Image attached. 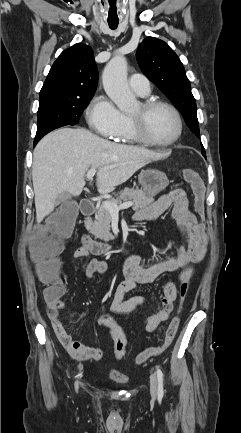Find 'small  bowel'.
<instances>
[{"label":"small bowel","mask_w":241,"mask_h":433,"mask_svg":"<svg viewBox=\"0 0 241 433\" xmlns=\"http://www.w3.org/2000/svg\"><path fill=\"white\" fill-rule=\"evenodd\" d=\"M171 208L172 215L182 236V245L175 255L149 267L142 266L139 255L134 254L130 256L123 267L125 279L116 287L110 302L109 307L112 313L128 314L136 308H146L147 303L143 296L134 295L125 300V295L139 284L153 282L163 273L181 269V276H191L193 272L192 265L203 260L206 253L205 226L203 222L199 221L190 212L189 200L185 190L175 189L168 194L162 195L152 204L140 209L135 214V220L139 222L154 220ZM87 256H90V252L84 247L78 248L74 253V258L76 259ZM107 269L108 265L104 260L93 257L85 266L84 273L88 279H92L104 274ZM65 294L66 287L64 285L63 292L59 297L47 301V315L57 339L75 360H100L102 357V350L100 348L85 345L72 338L66 332L59 318V310L66 306V303L61 299ZM176 298V285L173 282H167L160 296V308L152 312L147 318V332L151 333L155 331L161 323L168 320ZM102 316L103 314L97 318V323L100 326L106 327L107 321ZM108 316L111 315L108 314Z\"/></svg>","instance_id":"c3829d8e"}]
</instances>
